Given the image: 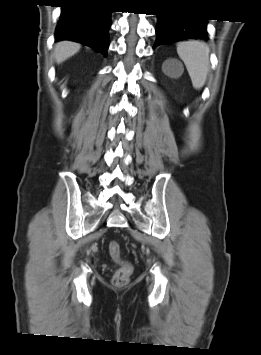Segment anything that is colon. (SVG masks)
Here are the masks:
<instances>
[{
    "instance_id": "5ec220e1",
    "label": "colon",
    "mask_w": 261,
    "mask_h": 355,
    "mask_svg": "<svg viewBox=\"0 0 261 355\" xmlns=\"http://www.w3.org/2000/svg\"><path fill=\"white\" fill-rule=\"evenodd\" d=\"M108 251L111 258L119 264V268L113 275V284L116 287H123L129 282L130 276L133 272V266L131 263L122 260L121 249L118 242L111 241L108 245Z\"/></svg>"
}]
</instances>
